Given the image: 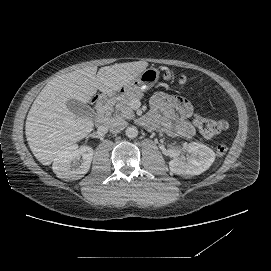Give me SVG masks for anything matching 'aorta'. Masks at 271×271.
I'll use <instances>...</instances> for the list:
<instances>
[{"label":"aorta","instance_id":"aorta-1","mask_svg":"<svg viewBox=\"0 0 271 271\" xmlns=\"http://www.w3.org/2000/svg\"><path fill=\"white\" fill-rule=\"evenodd\" d=\"M125 135L128 138L133 139V138H135L138 135V129L135 126L127 127L125 129Z\"/></svg>","mask_w":271,"mask_h":271}]
</instances>
